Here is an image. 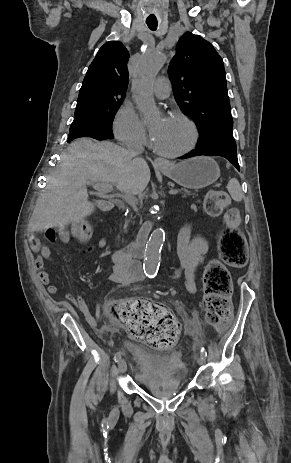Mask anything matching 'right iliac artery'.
<instances>
[{"instance_id": "right-iliac-artery-1", "label": "right iliac artery", "mask_w": 291, "mask_h": 463, "mask_svg": "<svg viewBox=\"0 0 291 463\" xmlns=\"http://www.w3.org/2000/svg\"><path fill=\"white\" fill-rule=\"evenodd\" d=\"M120 359H121V352H117V353L115 354V356H114V360H115V362H118ZM105 423H106V422L103 421L102 426H103V424L105 425Z\"/></svg>"}]
</instances>
